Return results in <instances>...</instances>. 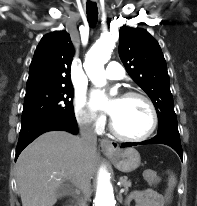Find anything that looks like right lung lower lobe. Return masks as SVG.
<instances>
[{"mask_svg": "<svg viewBox=\"0 0 197 206\" xmlns=\"http://www.w3.org/2000/svg\"><path fill=\"white\" fill-rule=\"evenodd\" d=\"M52 130H64L76 134L78 125L75 116L44 118L25 126H21L16 148L15 160L22 150L42 133Z\"/></svg>", "mask_w": 197, "mask_h": 206, "instance_id": "98d812e1", "label": "right lung lower lobe"}]
</instances>
